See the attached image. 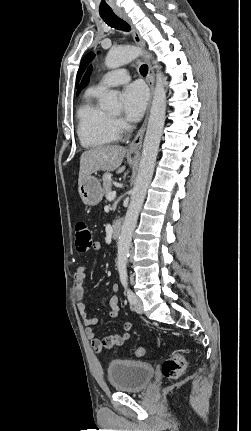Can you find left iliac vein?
Listing matches in <instances>:
<instances>
[{
	"label": "left iliac vein",
	"instance_id": "obj_1",
	"mask_svg": "<svg viewBox=\"0 0 251 431\" xmlns=\"http://www.w3.org/2000/svg\"><path fill=\"white\" fill-rule=\"evenodd\" d=\"M133 309H134L137 313H139V314H142V313H143V302H142V300H141L138 296H136L135 294H134Z\"/></svg>",
	"mask_w": 251,
	"mask_h": 431
}]
</instances>
